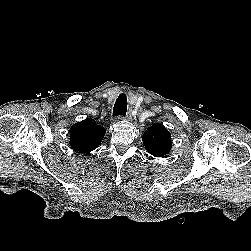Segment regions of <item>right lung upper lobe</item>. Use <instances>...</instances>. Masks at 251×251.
Segmentation results:
<instances>
[{"label": "right lung upper lobe", "instance_id": "1", "mask_svg": "<svg viewBox=\"0 0 251 251\" xmlns=\"http://www.w3.org/2000/svg\"><path fill=\"white\" fill-rule=\"evenodd\" d=\"M104 135V128L85 119L71 127L70 146L80 153H89L100 145Z\"/></svg>", "mask_w": 251, "mask_h": 251}]
</instances>
